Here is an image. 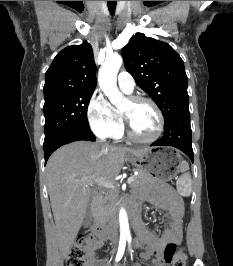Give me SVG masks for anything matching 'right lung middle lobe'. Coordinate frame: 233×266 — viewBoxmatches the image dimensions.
<instances>
[{
  "mask_svg": "<svg viewBox=\"0 0 233 266\" xmlns=\"http://www.w3.org/2000/svg\"><path fill=\"white\" fill-rule=\"evenodd\" d=\"M94 90L57 93L44 97L45 140L62 132L90 128L87 108Z\"/></svg>",
  "mask_w": 233,
  "mask_h": 266,
  "instance_id": "obj_1",
  "label": "right lung middle lobe"
}]
</instances>
